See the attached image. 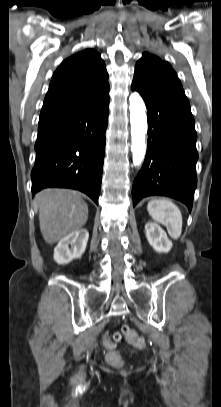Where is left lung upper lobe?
<instances>
[{
	"label": "left lung upper lobe",
	"mask_w": 221,
	"mask_h": 407,
	"mask_svg": "<svg viewBox=\"0 0 221 407\" xmlns=\"http://www.w3.org/2000/svg\"><path fill=\"white\" fill-rule=\"evenodd\" d=\"M132 85L149 93L183 91L181 82L169 63L149 53H143L137 62Z\"/></svg>",
	"instance_id": "left-lung-upper-lobe-1"
}]
</instances>
